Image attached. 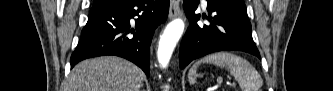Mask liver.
I'll return each instance as SVG.
<instances>
[{
    "label": "liver",
    "instance_id": "liver-1",
    "mask_svg": "<svg viewBox=\"0 0 333 91\" xmlns=\"http://www.w3.org/2000/svg\"><path fill=\"white\" fill-rule=\"evenodd\" d=\"M144 74L136 65L118 57H99L76 65L64 91H140Z\"/></svg>",
    "mask_w": 333,
    "mask_h": 91
}]
</instances>
